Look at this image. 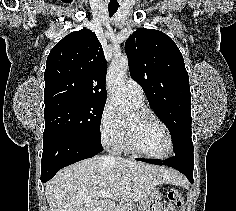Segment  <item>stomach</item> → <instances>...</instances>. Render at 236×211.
I'll use <instances>...</instances> for the list:
<instances>
[{"label": "stomach", "mask_w": 236, "mask_h": 211, "mask_svg": "<svg viewBox=\"0 0 236 211\" xmlns=\"http://www.w3.org/2000/svg\"><path fill=\"white\" fill-rule=\"evenodd\" d=\"M161 193L158 188H153L148 198L140 204V211H162Z\"/></svg>", "instance_id": "obj_1"}]
</instances>
